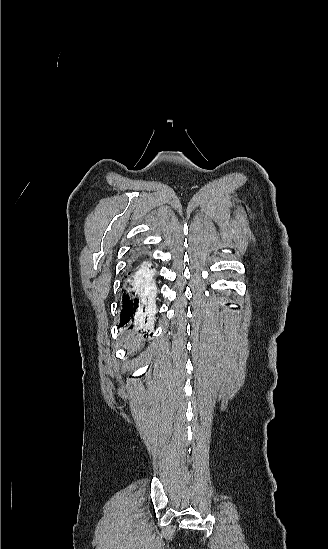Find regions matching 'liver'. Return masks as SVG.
<instances>
[{"instance_id": "6515ba94", "label": "liver", "mask_w": 328, "mask_h": 549, "mask_svg": "<svg viewBox=\"0 0 328 549\" xmlns=\"http://www.w3.org/2000/svg\"><path fill=\"white\" fill-rule=\"evenodd\" d=\"M124 335L125 337H123L122 341L125 349H131V347H135V345L140 343V339H138L134 333H124Z\"/></svg>"}]
</instances>
